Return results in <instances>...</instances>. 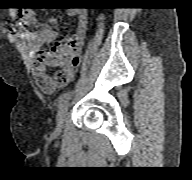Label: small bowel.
<instances>
[{
	"label": "small bowel",
	"instance_id": "small-bowel-1",
	"mask_svg": "<svg viewBox=\"0 0 192 180\" xmlns=\"http://www.w3.org/2000/svg\"><path fill=\"white\" fill-rule=\"evenodd\" d=\"M69 16L77 18L75 33L63 40L57 41L47 51L40 52V48L53 42L57 38L56 32L50 26L31 32L20 30V37L26 41L30 51L37 54V63L33 68L36 83L45 93H54L56 90L69 84L76 69L82 61V48L88 30V14L85 9H70ZM18 17L24 25H35L36 18L30 10H19ZM52 19L50 23H55ZM57 67L59 70L49 74L48 68Z\"/></svg>",
	"mask_w": 192,
	"mask_h": 180
}]
</instances>
